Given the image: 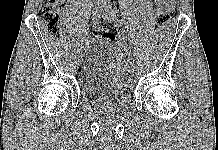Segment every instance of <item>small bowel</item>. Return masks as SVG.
I'll return each instance as SVG.
<instances>
[{
	"label": "small bowel",
	"instance_id": "small-bowel-1",
	"mask_svg": "<svg viewBox=\"0 0 218 150\" xmlns=\"http://www.w3.org/2000/svg\"><path fill=\"white\" fill-rule=\"evenodd\" d=\"M158 4L165 6L170 11L174 8V2L173 0H156Z\"/></svg>",
	"mask_w": 218,
	"mask_h": 150
}]
</instances>
